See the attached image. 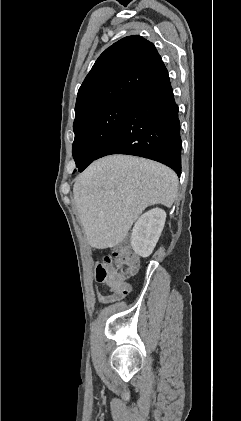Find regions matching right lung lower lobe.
<instances>
[{"mask_svg": "<svg viewBox=\"0 0 241 421\" xmlns=\"http://www.w3.org/2000/svg\"><path fill=\"white\" fill-rule=\"evenodd\" d=\"M178 112L165 69L132 97L119 128L95 160L110 154L135 155L161 162L180 176L182 141Z\"/></svg>", "mask_w": 241, "mask_h": 421, "instance_id": "right-lung-lower-lobe-1", "label": "right lung lower lobe"}]
</instances>
